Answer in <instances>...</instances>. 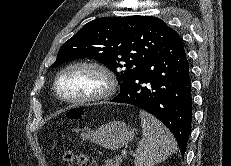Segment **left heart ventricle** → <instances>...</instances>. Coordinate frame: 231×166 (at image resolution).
<instances>
[{
    "label": "left heart ventricle",
    "mask_w": 231,
    "mask_h": 166,
    "mask_svg": "<svg viewBox=\"0 0 231 166\" xmlns=\"http://www.w3.org/2000/svg\"><path fill=\"white\" fill-rule=\"evenodd\" d=\"M104 86L102 76L88 68H75L59 80L60 93L68 98L84 97L100 91Z\"/></svg>",
    "instance_id": "left-heart-ventricle-1"
}]
</instances>
